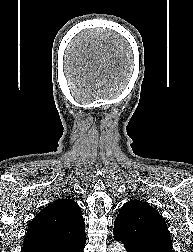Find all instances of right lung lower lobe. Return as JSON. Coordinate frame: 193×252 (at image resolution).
<instances>
[{
    "label": "right lung lower lobe",
    "mask_w": 193,
    "mask_h": 252,
    "mask_svg": "<svg viewBox=\"0 0 193 252\" xmlns=\"http://www.w3.org/2000/svg\"><path fill=\"white\" fill-rule=\"evenodd\" d=\"M85 243H86V239L80 241L79 243L75 244L71 248L63 250V252H84Z\"/></svg>",
    "instance_id": "98d812e1"
}]
</instances>
